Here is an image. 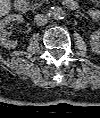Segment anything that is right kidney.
Wrapping results in <instances>:
<instances>
[{
    "label": "right kidney",
    "instance_id": "ca27d5eb",
    "mask_svg": "<svg viewBox=\"0 0 100 118\" xmlns=\"http://www.w3.org/2000/svg\"><path fill=\"white\" fill-rule=\"evenodd\" d=\"M23 17L20 15H9L4 19L0 20V46L8 49H13L17 46V41L8 40V25L13 22L21 23L23 22Z\"/></svg>",
    "mask_w": 100,
    "mask_h": 118
}]
</instances>
